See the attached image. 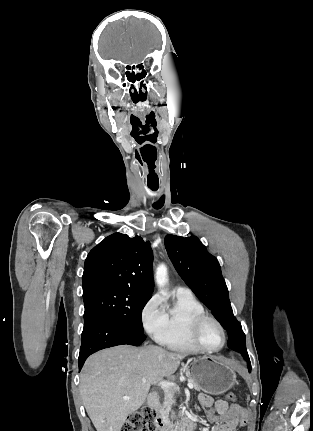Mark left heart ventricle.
Instances as JSON below:
<instances>
[{"instance_id": "left-heart-ventricle-1", "label": "left heart ventricle", "mask_w": 313, "mask_h": 431, "mask_svg": "<svg viewBox=\"0 0 313 431\" xmlns=\"http://www.w3.org/2000/svg\"><path fill=\"white\" fill-rule=\"evenodd\" d=\"M202 344L208 348H217L222 342V335L219 328L211 321L206 322L199 333Z\"/></svg>"}]
</instances>
